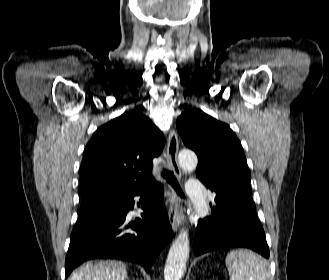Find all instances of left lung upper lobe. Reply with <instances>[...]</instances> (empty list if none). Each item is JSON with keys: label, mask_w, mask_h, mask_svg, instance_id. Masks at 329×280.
<instances>
[{"label": "left lung upper lobe", "mask_w": 329, "mask_h": 280, "mask_svg": "<svg viewBox=\"0 0 329 280\" xmlns=\"http://www.w3.org/2000/svg\"><path fill=\"white\" fill-rule=\"evenodd\" d=\"M184 144L198 156L197 177L216 197L249 191L251 174L243 148L230 127L200 109H189L177 119Z\"/></svg>", "instance_id": "1"}]
</instances>
